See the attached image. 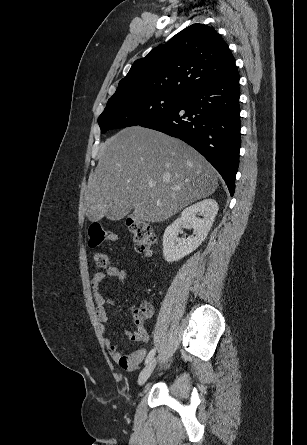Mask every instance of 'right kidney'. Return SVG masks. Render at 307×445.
I'll list each match as a JSON object with an SVG mask.
<instances>
[{
  "mask_svg": "<svg viewBox=\"0 0 307 445\" xmlns=\"http://www.w3.org/2000/svg\"><path fill=\"white\" fill-rule=\"evenodd\" d=\"M200 212L203 214V218H197L195 214ZM218 212V204L214 198H205L200 200L192 206H188L183 210L180 218L174 220L172 225L167 227L163 237V257L167 263H173V261H179L186 255L193 253L195 249H198L202 241L206 239L213 223L214 218ZM181 225H187L194 229L193 235L195 237H188V239H178V231L181 229Z\"/></svg>",
  "mask_w": 307,
  "mask_h": 445,
  "instance_id": "ca27d5eb",
  "label": "right kidney"
}]
</instances>
